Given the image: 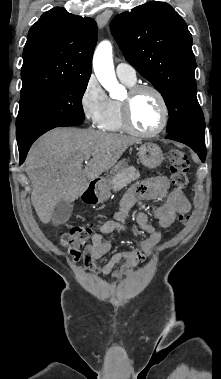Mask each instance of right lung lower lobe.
<instances>
[{"label":"right lung lower lobe","mask_w":221,"mask_h":379,"mask_svg":"<svg viewBox=\"0 0 221 379\" xmlns=\"http://www.w3.org/2000/svg\"><path fill=\"white\" fill-rule=\"evenodd\" d=\"M35 140H31V141H27V142H23V143H18L19 154H20V164H22L24 162L26 155H27V152Z\"/></svg>","instance_id":"98d812e1"}]
</instances>
